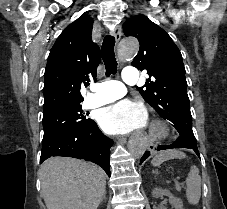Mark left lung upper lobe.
Instances as JSON below:
<instances>
[{
    "mask_svg": "<svg viewBox=\"0 0 227 209\" xmlns=\"http://www.w3.org/2000/svg\"><path fill=\"white\" fill-rule=\"evenodd\" d=\"M126 36H134L140 50L132 66L147 70L149 79L137 87L144 100L169 120L181 141L197 145L192 130V116L182 55L171 37L148 17L139 14L123 24Z\"/></svg>",
    "mask_w": 227,
    "mask_h": 209,
    "instance_id": "obj_1",
    "label": "left lung upper lobe"
}]
</instances>
